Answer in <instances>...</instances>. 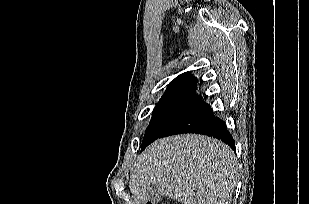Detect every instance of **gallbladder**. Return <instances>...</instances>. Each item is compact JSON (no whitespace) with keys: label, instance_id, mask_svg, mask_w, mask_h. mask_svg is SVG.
Masks as SVG:
<instances>
[{"label":"gallbladder","instance_id":"obj_1","mask_svg":"<svg viewBox=\"0 0 309 204\" xmlns=\"http://www.w3.org/2000/svg\"><path fill=\"white\" fill-rule=\"evenodd\" d=\"M161 197L162 192L159 190L158 185L155 183L151 184L149 190V199L153 202H158L160 201Z\"/></svg>","mask_w":309,"mask_h":204}]
</instances>
